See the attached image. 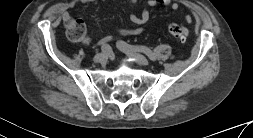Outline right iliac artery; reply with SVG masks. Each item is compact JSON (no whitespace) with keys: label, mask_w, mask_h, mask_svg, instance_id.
<instances>
[{"label":"right iliac artery","mask_w":253,"mask_h":138,"mask_svg":"<svg viewBox=\"0 0 253 138\" xmlns=\"http://www.w3.org/2000/svg\"><path fill=\"white\" fill-rule=\"evenodd\" d=\"M101 49L103 52H109L110 51V46L108 44H104L101 46Z\"/></svg>","instance_id":"1"}]
</instances>
